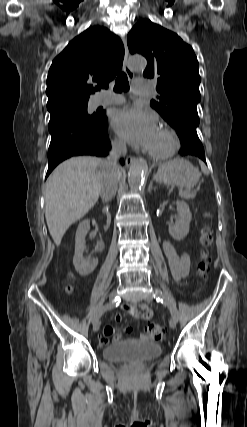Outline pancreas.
Wrapping results in <instances>:
<instances>
[{
	"mask_svg": "<svg viewBox=\"0 0 247 427\" xmlns=\"http://www.w3.org/2000/svg\"><path fill=\"white\" fill-rule=\"evenodd\" d=\"M181 195L186 199H190L193 197V194L188 191H181Z\"/></svg>",
	"mask_w": 247,
	"mask_h": 427,
	"instance_id": "1",
	"label": "pancreas"
}]
</instances>
